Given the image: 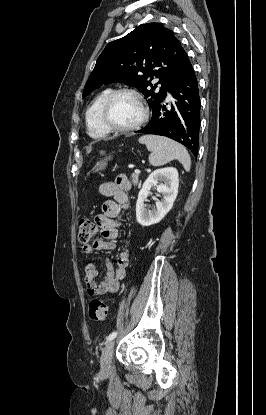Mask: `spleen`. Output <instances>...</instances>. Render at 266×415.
Listing matches in <instances>:
<instances>
[{
	"mask_svg": "<svg viewBox=\"0 0 266 415\" xmlns=\"http://www.w3.org/2000/svg\"><path fill=\"white\" fill-rule=\"evenodd\" d=\"M139 143L145 144L149 155L151 165L158 167L169 163L172 160H178L189 172L191 168V158L185 147L181 144L157 135H144L139 138Z\"/></svg>",
	"mask_w": 266,
	"mask_h": 415,
	"instance_id": "1",
	"label": "spleen"
}]
</instances>
